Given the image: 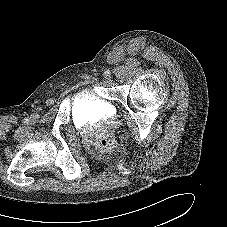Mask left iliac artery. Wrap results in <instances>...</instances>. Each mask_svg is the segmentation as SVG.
I'll use <instances>...</instances> for the list:
<instances>
[{
	"instance_id": "1",
	"label": "left iliac artery",
	"mask_w": 227,
	"mask_h": 227,
	"mask_svg": "<svg viewBox=\"0 0 227 227\" xmlns=\"http://www.w3.org/2000/svg\"><path fill=\"white\" fill-rule=\"evenodd\" d=\"M105 75H106V76H110V75H111V71H110V70H106V71H105Z\"/></svg>"
}]
</instances>
